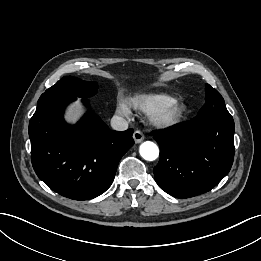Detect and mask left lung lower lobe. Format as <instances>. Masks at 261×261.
<instances>
[{
	"instance_id": "obj_1",
	"label": "left lung lower lobe",
	"mask_w": 261,
	"mask_h": 261,
	"mask_svg": "<svg viewBox=\"0 0 261 261\" xmlns=\"http://www.w3.org/2000/svg\"><path fill=\"white\" fill-rule=\"evenodd\" d=\"M233 119H197L151 136L160 145L154 177L162 190L184 199L211 190L230 171L234 159Z\"/></svg>"
}]
</instances>
